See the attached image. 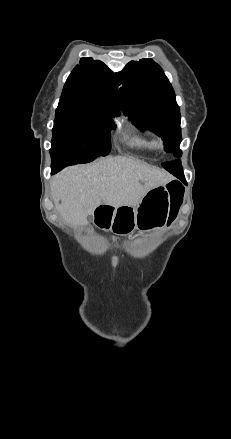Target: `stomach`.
<instances>
[{
  "mask_svg": "<svg viewBox=\"0 0 231 439\" xmlns=\"http://www.w3.org/2000/svg\"><path fill=\"white\" fill-rule=\"evenodd\" d=\"M128 208L127 216L113 220V231L117 234H129L135 229H148L163 226L170 214V196L165 185L149 190L137 206Z\"/></svg>",
  "mask_w": 231,
  "mask_h": 439,
  "instance_id": "0dacf381",
  "label": "stomach"
}]
</instances>
